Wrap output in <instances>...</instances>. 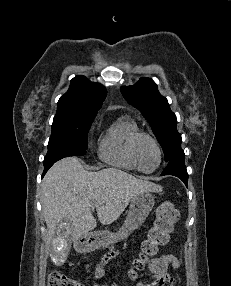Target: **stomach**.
I'll return each mask as SVG.
<instances>
[{"label": "stomach", "mask_w": 231, "mask_h": 286, "mask_svg": "<svg viewBox=\"0 0 231 286\" xmlns=\"http://www.w3.org/2000/svg\"><path fill=\"white\" fill-rule=\"evenodd\" d=\"M154 198L150 192L136 195L131 200L124 224L119 231H95L79 238L75 242L77 251L86 253L101 248H107L125 239L132 231L138 229L146 220L154 206Z\"/></svg>", "instance_id": "1"}]
</instances>
